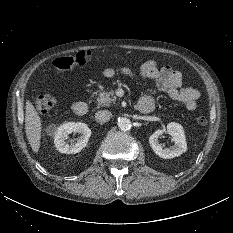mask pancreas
Wrapping results in <instances>:
<instances>
[{
  "instance_id": "obj_1",
  "label": "pancreas",
  "mask_w": 233,
  "mask_h": 233,
  "mask_svg": "<svg viewBox=\"0 0 233 233\" xmlns=\"http://www.w3.org/2000/svg\"><path fill=\"white\" fill-rule=\"evenodd\" d=\"M116 96L114 95V91H103L97 97V102L99 107H109L112 103H115Z\"/></svg>"
}]
</instances>
